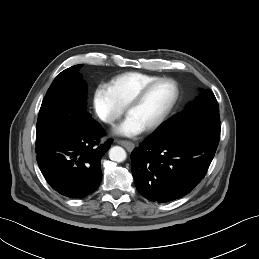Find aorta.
<instances>
[{"label":"aorta","instance_id":"obj_1","mask_svg":"<svg viewBox=\"0 0 259 259\" xmlns=\"http://www.w3.org/2000/svg\"><path fill=\"white\" fill-rule=\"evenodd\" d=\"M127 157L126 151L120 146H114L109 151V158L115 162H123Z\"/></svg>","mask_w":259,"mask_h":259}]
</instances>
